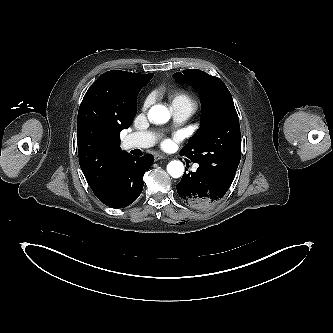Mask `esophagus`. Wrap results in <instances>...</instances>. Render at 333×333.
<instances>
[{
	"instance_id": "esophagus-1",
	"label": "esophagus",
	"mask_w": 333,
	"mask_h": 333,
	"mask_svg": "<svg viewBox=\"0 0 333 333\" xmlns=\"http://www.w3.org/2000/svg\"><path fill=\"white\" fill-rule=\"evenodd\" d=\"M166 157L164 155L161 154H155L154 155V161H159L161 159H165Z\"/></svg>"
}]
</instances>
